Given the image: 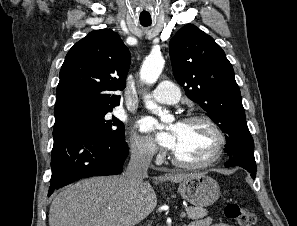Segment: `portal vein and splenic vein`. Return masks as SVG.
<instances>
[{"label":"portal vein and splenic vein","instance_id":"obj_1","mask_svg":"<svg viewBox=\"0 0 297 226\" xmlns=\"http://www.w3.org/2000/svg\"><path fill=\"white\" fill-rule=\"evenodd\" d=\"M186 216V213L185 212H182L181 214H180V217L181 218H184Z\"/></svg>","mask_w":297,"mask_h":226}]
</instances>
